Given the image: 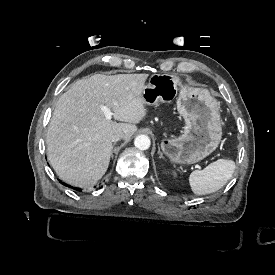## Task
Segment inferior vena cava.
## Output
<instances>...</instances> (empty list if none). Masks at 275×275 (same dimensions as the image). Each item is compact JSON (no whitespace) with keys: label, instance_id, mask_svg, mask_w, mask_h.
Listing matches in <instances>:
<instances>
[{"label":"inferior vena cava","instance_id":"1","mask_svg":"<svg viewBox=\"0 0 275 275\" xmlns=\"http://www.w3.org/2000/svg\"><path fill=\"white\" fill-rule=\"evenodd\" d=\"M124 133L121 131H116L112 134L111 140L112 142H118L119 140L123 139Z\"/></svg>","mask_w":275,"mask_h":275}]
</instances>
